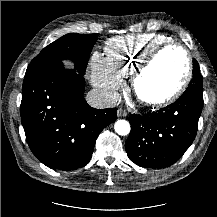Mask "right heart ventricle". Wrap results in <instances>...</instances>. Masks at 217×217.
Instances as JSON below:
<instances>
[{
  "mask_svg": "<svg viewBox=\"0 0 217 217\" xmlns=\"http://www.w3.org/2000/svg\"><path fill=\"white\" fill-rule=\"evenodd\" d=\"M171 42V38L156 33L117 36L105 44L106 61L119 77H129L155 48Z\"/></svg>",
  "mask_w": 217,
  "mask_h": 217,
  "instance_id": "1",
  "label": "right heart ventricle"
}]
</instances>
